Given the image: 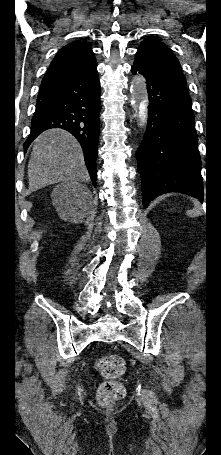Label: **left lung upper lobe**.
<instances>
[{"mask_svg": "<svg viewBox=\"0 0 221 455\" xmlns=\"http://www.w3.org/2000/svg\"><path fill=\"white\" fill-rule=\"evenodd\" d=\"M134 66L159 75L187 91L186 78L176 56L156 38H147L138 47Z\"/></svg>", "mask_w": 221, "mask_h": 455, "instance_id": "obj_1", "label": "left lung upper lobe"}]
</instances>
